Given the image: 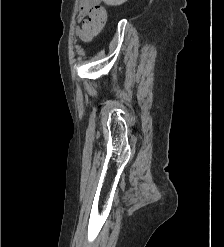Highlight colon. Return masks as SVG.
I'll return each mask as SVG.
<instances>
[{
    "instance_id": "5ec220e1",
    "label": "colon",
    "mask_w": 224,
    "mask_h": 247,
    "mask_svg": "<svg viewBox=\"0 0 224 247\" xmlns=\"http://www.w3.org/2000/svg\"><path fill=\"white\" fill-rule=\"evenodd\" d=\"M107 21V12L102 7H95L84 21L81 34L86 39H92L104 28Z\"/></svg>"
}]
</instances>
